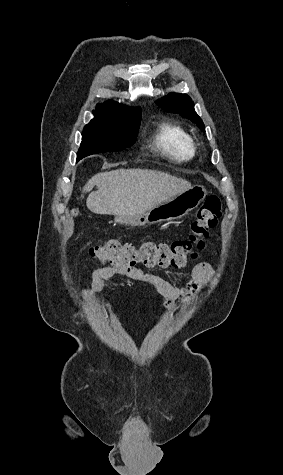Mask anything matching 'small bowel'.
<instances>
[{
  "label": "small bowel",
  "instance_id": "small-bowel-1",
  "mask_svg": "<svg viewBox=\"0 0 283 475\" xmlns=\"http://www.w3.org/2000/svg\"><path fill=\"white\" fill-rule=\"evenodd\" d=\"M214 275L215 269L210 263L199 262L192 270L191 280L183 286H177L161 276L144 271L139 267L115 263L98 268L93 272L92 284L85 291V297L90 306L94 307L96 304L94 294L103 289L104 282L112 277L124 276L154 287L162 295L164 306L172 309L177 302L195 305L197 297L203 294ZM117 310L116 305L108 303L104 306V316L108 318L111 313ZM129 312L134 315L143 314L139 310H130Z\"/></svg>",
  "mask_w": 283,
  "mask_h": 475
}]
</instances>
